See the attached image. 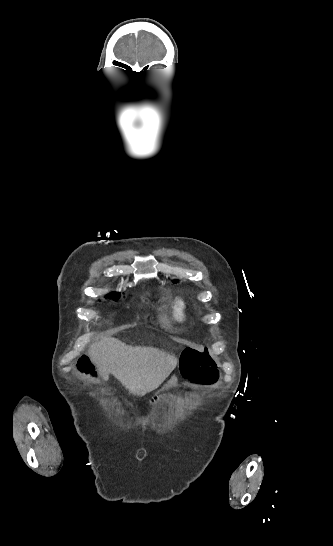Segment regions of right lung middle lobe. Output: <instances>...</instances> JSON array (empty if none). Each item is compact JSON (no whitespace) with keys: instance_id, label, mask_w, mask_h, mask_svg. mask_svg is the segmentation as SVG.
I'll use <instances>...</instances> for the list:
<instances>
[{"instance_id":"obj_1","label":"right lung middle lobe","mask_w":333,"mask_h":546,"mask_svg":"<svg viewBox=\"0 0 333 546\" xmlns=\"http://www.w3.org/2000/svg\"><path fill=\"white\" fill-rule=\"evenodd\" d=\"M120 295H121V294L118 293V292H112V293L106 295V297L109 298V299H113L114 301H116V300L119 299Z\"/></svg>"}]
</instances>
